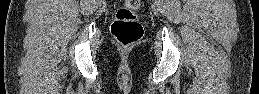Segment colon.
Returning <instances> with one entry per match:
<instances>
[{
  "mask_svg": "<svg viewBox=\"0 0 259 94\" xmlns=\"http://www.w3.org/2000/svg\"><path fill=\"white\" fill-rule=\"evenodd\" d=\"M140 3V0H125L124 5L116 11L111 33L123 46L135 44L143 35V28L137 15Z\"/></svg>",
  "mask_w": 259,
  "mask_h": 94,
  "instance_id": "5ec220e1",
  "label": "colon"
}]
</instances>
